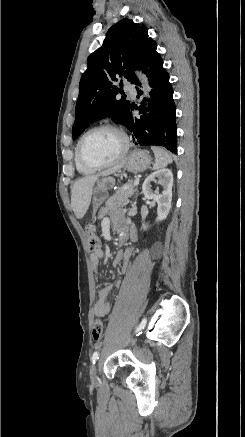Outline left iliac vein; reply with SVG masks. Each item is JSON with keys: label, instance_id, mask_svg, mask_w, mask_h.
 <instances>
[{"label": "left iliac vein", "instance_id": "obj_1", "mask_svg": "<svg viewBox=\"0 0 245 437\" xmlns=\"http://www.w3.org/2000/svg\"><path fill=\"white\" fill-rule=\"evenodd\" d=\"M90 379L93 385L97 384L98 382L97 364H93L90 368Z\"/></svg>", "mask_w": 245, "mask_h": 437}]
</instances>
